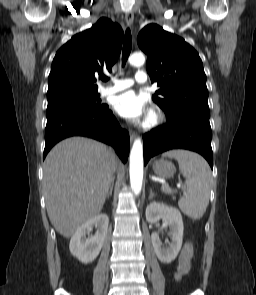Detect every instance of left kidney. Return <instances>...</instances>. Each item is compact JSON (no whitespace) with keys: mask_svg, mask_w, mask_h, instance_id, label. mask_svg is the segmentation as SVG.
Returning a JSON list of instances; mask_svg holds the SVG:
<instances>
[{"mask_svg":"<svg viewBox=\"0 0 256 295\" xmlns=\"http://www.w3.org/2000/svg\"><path fill=\"white\" fill-rule=\"evenodd\" d=\"M163 220L164 226L169 227L171 242L162 247L158 233L151 234L152 245L157 258L165 264L171 263L178 255L183 242V220L180 211L172 206L160 202H151L146 208V220L157 223Z\"/></svg>","mask_w":256,"mask_h":295,"instance_id":"left-kidney-1","label":"left kidney"}]
</instances>
